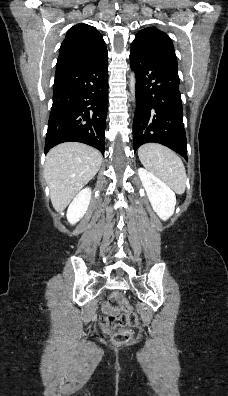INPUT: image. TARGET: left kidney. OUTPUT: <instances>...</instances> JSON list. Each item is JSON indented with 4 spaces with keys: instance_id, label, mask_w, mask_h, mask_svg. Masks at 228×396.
Returning a JSON list of instances; mask_svg holds the SVG:
<instances>
[{
    "instance_id": "1",
    "label": "left kidney",
    "mask_w": 228,
    "mask_h": 396,
    "mask_svg": "<svg viewBox=\"0 0 228 396\" xmlns=\"http://www.w3.org/2000/svg\"><path fill=\"white\" fill-rule=\"evenodd\" d=\"M138 175L153 210L162 220H167L175 210V193L162 180L144 168L138 169Z\"/></svg>"
}]
</instances>
